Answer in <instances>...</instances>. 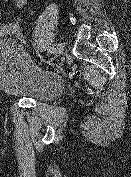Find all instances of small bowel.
Instances as JSON below:
<instances>
[{"instance_id":"obj_1","label":"small bowel","mask_w":131,"mask_h":177,"mask_svg":"<svg viewBox=\"0 0 131 177\" xmlns=\"http://www.w3.org/2000/svg\"><path fill=\"white\" fill-rule=\"evenodd\" d=\"M15 8L19 14V21L20 24H22L23 21V15H22V9L27 3V0H13ZM12 35V27L11 23L8 21L6 23L0 24V37H9Z\"/></svg>"}]
</instances>
